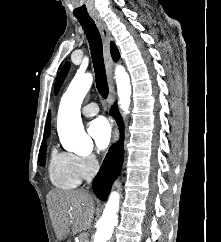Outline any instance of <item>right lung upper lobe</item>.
Masks as SVG:
<instances>
[{"instance_id":"obj_1","label":"right lung upper lobe","mask_w":221,"mask_h":242,"mask_svg":"<svg viewBox=\"0 0 221 242\" xmlns=\"http://www.w3.org/2000/svg\"><path fill=\"white\" fill-rule=\"evenodd\" d=\"M110 51H111L113 60H115V61L118 60L120 55H119V51L114 43H111ZM50 122H51V117H50V112H49L48 116H47L44 137H49V135H50Z\"/></svg>"}]
</instances>
